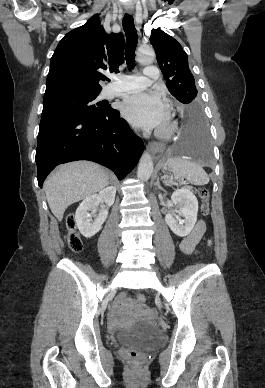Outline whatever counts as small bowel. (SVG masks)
<instances>
[{
  "mask_svg": "<svg viewBox=\"0 0 265 388\" xmlns=\"http://www.w3.org/2000/svg\"><path fill=\"white\" fill-rule=\"evenodd\" d=\"M205 223L201 220L197 221L192 231L182 240L180 244L181 251L190 255L196 251V246L205 232Z\"/></svg>",
  "mask_w": 265,
  "mask_h": 388,
  "instance_id": "obj_1",
  "label": "small bowel"
}]
</instances>
